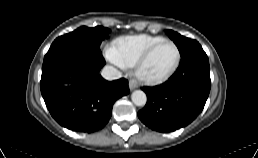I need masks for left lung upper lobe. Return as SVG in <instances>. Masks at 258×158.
<instances>
[{"instance_id": "1", "label": "left lung upper lobe", "mask_w": 258, "mask_h": 158, "mask_svg": "<svg viewBox=\"0 0 258 158\" xmlns=\"http://www.w3.org/2000/svg\"><path fill=\"white\" fill-rule=\"evenodd\" d=\"M166 33L178 47L181 56L184 55L192 45L198 43L197 41L181 36L172 30H166Z\"/></svg>"}]
</instances>
